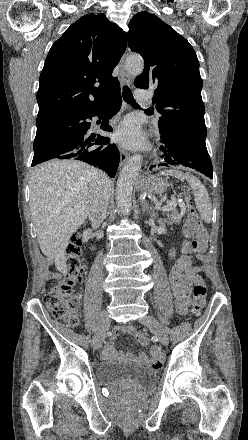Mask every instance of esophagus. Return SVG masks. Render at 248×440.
I'll list each match as a JSON object with an SVG mask.
<instances>
[{"instance_id":"1","label":"esophagus","mask_w":248,"mask_h":440,"mask_svg":"<svg viewBox=\"0 0 248 440\" xmlns=\"http://www.w3.org/2000/svg\"><path fill=\"white\" fill-rule=\"evenodd\" d=\"M125 58H126V53L120 59V62L118 65L119 66V73H120V78H121L122 82L124 84L130 85V84H132V80H131L130 75L127 73V71L125 69ZM128 158H129V153L126 150L121 148L120 149V166H123Z\"/></svg>"}]
</instances>
